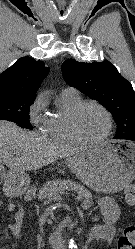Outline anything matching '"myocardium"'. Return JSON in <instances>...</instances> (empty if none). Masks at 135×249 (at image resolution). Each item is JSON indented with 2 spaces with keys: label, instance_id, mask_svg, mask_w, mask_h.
<instances>
[{
  "label": "myocardium",
  "instance_id": "myocardium-1",
  "mask_svg": "<svg viewBox=\"0 0 135 249\" xmlns=\"http://www.w3.org/2000/svg\"><path fill=\"white\" fill-rule=\"evenodd\" d=\"M89 106H94V107H97L98 109H100L104 113V115L106 116L107 122H108V127H107L106 133L97 139H88L87 137H85L82 134V132L80 131V129L78 127V119H79L82 111ZM69 125H70V130H71L73 136L75 137V139L78 142H80L81 144L96 145V144H99V143L105 141L111 135V132L113 129V117H112L111 112L101 103L96 102V101H84V102L80 103L71 113Z\"/></svg>",
  "mask_w": 135,
  "mask_h": 249
}]
</instances>
